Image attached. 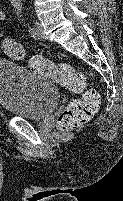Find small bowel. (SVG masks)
Instances as JSON below:
<instances>
[{"label":"small bowel","instance_id":"small-bowel-1","mask_svg":"<svg viewBox=\"0 0 123 201\" xmlns=\"http://www.w3.org/2000/svg\"><path fill=\"white\" fill-rule=\"evenodd\" d=\"M6 19H7V17H6L5 12H4V11H2V10H0V22H5V21H6ZM3 33H4V28H3V27H1V28H0V36H2V35H3Z\"/></svg>","mask_w":123,"mask_h":201}]
</instances>
